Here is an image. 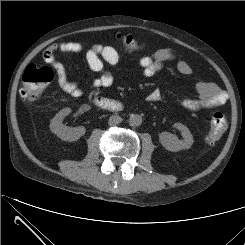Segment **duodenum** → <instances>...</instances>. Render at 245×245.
Instances as JSON below:
<instances>
[{
	"mask_svg": "<svg viewBox=\"0 0 245 245\" xmlns=\"http://www.w3.org/2000/svg\"><path fill=\"white\" fill-rule=\"evenodd\" d=\"M93 102L95 105L105 110L120 111L123 109L120 102L102 96L94 97Z\"/></svg>",
	"mask_w": 245,
	"mask_h": 245,
	"instance_id": "1",
	"label": "duodenum"
}]
</instances>
